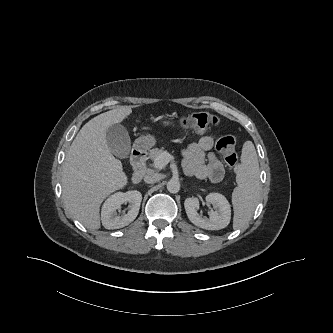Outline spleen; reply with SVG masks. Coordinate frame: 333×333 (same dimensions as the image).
<instances>
[{
    "instance_id": "spleen-1",
    "label": "spleen",
    "mask_w": 333,
    "mask_h": 333,
    "mask_svg": "<svg viewBox=\"0 0 333 333\" xmlns=\"http://www.w3.org/2000/svg\"><path fill=\"white\" fill-rule=\"evenodd\" d=\"M237 187L232 193L233 228H243L252 218L259 201L260 169L254 144L246 141L241 163L235 167Z\"/></svg>"
}]
</instances>
